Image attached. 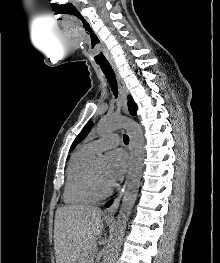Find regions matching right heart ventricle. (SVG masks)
<instances>
[{
    "label": "right heart ventricle",
    "mask_w": 220,
    "mask_h": 263,
    "mask_svg": "<svg viewBox=\"0 0 220 263\" xmlns=\"http://www.w3.org/2000/svg\"><path fill=\"white\" fill-rule=\"evenodd\" d=\"M86 145L71 157L66 173L64 201L69 205H84L96 200L87 187V177L94 156Z\"/></svg>",
    "instance_id": "right-heart-ventricle-1"
}]
</instances>
